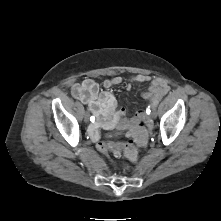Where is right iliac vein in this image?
I'll use <instances>...</instances> for the list:
<instances>
[{
	"label": "right iliac vein",
	"mask_w": 221,
	"mask_h": 221,
	"mask_svg": "<svg viewBox=\"0 0 221 221\" xmlns=\"http://www.w3.org/2000/svg\"><path fill=\"white\" fill-rule=\"evenodd\" d=\"M84 121H85L86 123L89 121V114H88V112H86V113L84 114Z\"/></svg>",
	"instance_id": "right-iliac-vein-1"
}]
</instances>
